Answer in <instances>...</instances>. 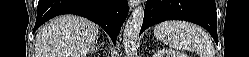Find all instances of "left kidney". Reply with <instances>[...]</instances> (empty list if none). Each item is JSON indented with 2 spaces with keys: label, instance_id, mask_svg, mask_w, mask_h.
Instances as JSON below:
<instances>
[{
  "label": "left kidney",
  "instance_id": "1",
  "mask_svg": "<svg viewBox=\"0 0 249 57\" xmlns=\"http://www.w3.org/2000/svg\"><path fill=\"white\" fill-rule=\"evenodd\" d=\"M152 57H186V55L173 49H159Z\"/></svg>",
  "mask_w": 249,
  "mask_h": 57
}]
</instances>
